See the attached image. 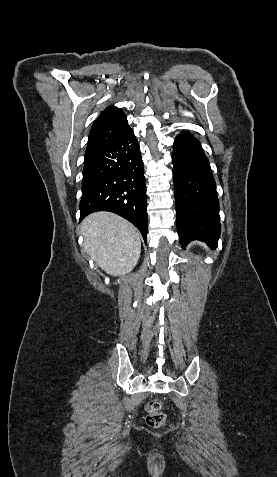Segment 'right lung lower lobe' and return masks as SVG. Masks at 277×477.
Listing matches in <instances>:
<instances>
[{
    "label": "right lung lower lobe",
    "mask_w": 277,
    "mask_h": 477,
    "mask_svg": "<svg viewBox=\"0 0 277 477\" xmlns=\"http://www.w3.org/2000/svg\"><path fill=\"white\" fill-rule=\"evenodd\" d=\"M97 211L113 212L127 219L147 243L144 166L131 128L111 144L85 154L80 221Z\"/></svg>",
    "instance_id": "98d812e1"
}]
</instances>
